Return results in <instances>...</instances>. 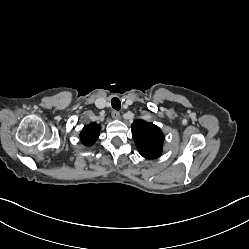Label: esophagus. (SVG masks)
I'll list each match as a JSON object with an SVG mask.
<instances>
[{"mask_svg":"<svg viewBox=\"0 0 249 249\" xmlns=\"http://www.w3.org/2000/svg\"><path fill=\"white\" fill-rule=\"evenodd\" d=\"M112 117H113V119H116V120H118V119H120V113L118 112V111H112Z\"/></svg>","mask_w":249,"mask_h":249,"instance_id":"obj_1","label":"esophagus"}]
</instances>
